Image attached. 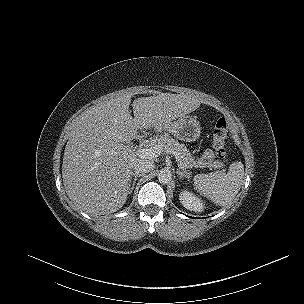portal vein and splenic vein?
Masks as SVG:
<instances>
[{"label":"portal vein and splenic vein","mask_w":304,"mask_h":304,"mask_svg":"<svg viewBox=\"0 0 304 304\" xmlns=\"http://www.w3.org/2000/svg\"><path fill=\"white\" fill-rule=\"evenodd\" d=\"M162 151L163 149L160 145H155L149 148H140L137 150V153L143 158L152 159L157 157ZM178 166L180 168L184 167L181 163H179Z\"/></svg>","instance_id":"obj_1"}]
</instances>
